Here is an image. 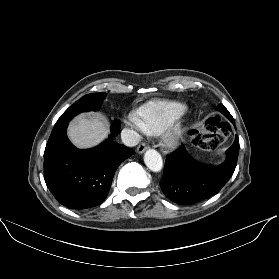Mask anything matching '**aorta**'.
Here are the masks:
<instances>
[{
    "label": "aorta",
    "instance_id": "aorta-1",
    "mask_svg": "<svg viewBox=\"0 0 279 279\" xmlns=\"http://www.w3.org/2000/svg\"><path fill=\"white\" fill-rule=\"evenodd\" d=\"M144 163L153 172H159L163 166L161 155L154 149H149L145 152Z\"/></svg>",
    "mask_w": 279,
    "mask_h": 279
}]
</instances>
